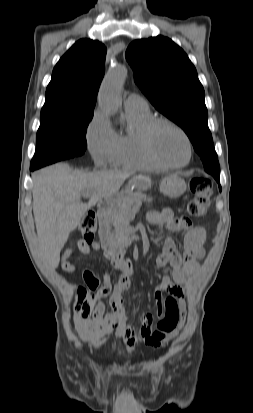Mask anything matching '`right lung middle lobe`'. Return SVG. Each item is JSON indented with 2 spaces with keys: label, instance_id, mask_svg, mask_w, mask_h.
<instances>
[{
  "label": "right lung middle lobe",
  "instance_id": "right-lung-middle-lobe-1",
  "mask_svg": "<svg viewBox=\"0 0 253 413\" xmlns=\"http://www.w3.org/2000/svg\"><path fill=\"white\" fill-rule=\"evenodd\" d=\"M93 113H51L40 116L36 152L30 168H41L57 161L82 155L86 130Z\"/></svg>",
  "mask_w": 253,
  "mask_h": 413
}]
</instances>
